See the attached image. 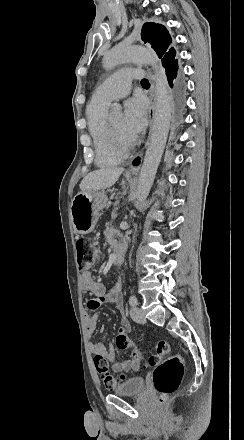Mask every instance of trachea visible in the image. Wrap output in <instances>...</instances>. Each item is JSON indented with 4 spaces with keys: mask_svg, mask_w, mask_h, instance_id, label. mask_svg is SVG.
<instances>
[{
    "mask_svg": "<svg viewBox=\"0 0 244 440\" xmlns=\"http://www.w3.org/2000/svg\"><path fill=\"white\" fill-rule=\"evenodd\" d=\"M141 84H149L147 78H143V79L141 80Z\"/></svg>",
    "mask_w": 244,
    "mask_h": 440,
    "instance_id": "3493384b",
    "label": "trachea"
}]
</instances>
